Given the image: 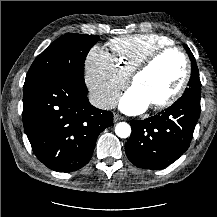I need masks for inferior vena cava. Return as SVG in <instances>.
Listing matches in <instances>:
<instances>
[{"mask_svg": "<svg viewBox=\"0 0 217 217\" xmlns=\"http://www.w3.org/2000/svg\"><path fill=\"white\" fill-rule=\"evenodd\" d=\"M88 98L93 106L103 110L113 109L118 103L117 96L110 93L91 92Z\"/></svg>", "mask_w": 217, "mask_h": 217, "instance_id": "obj_1", "label": "inferior vena cava"}]
</instances>
